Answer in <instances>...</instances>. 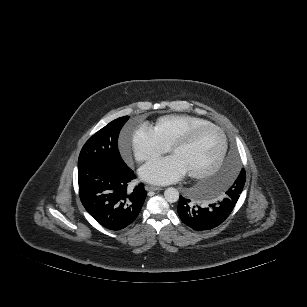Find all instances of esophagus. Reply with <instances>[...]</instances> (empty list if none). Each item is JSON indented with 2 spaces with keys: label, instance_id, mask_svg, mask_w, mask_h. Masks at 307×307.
Wrapping results in <instances>:
<instances>
[{
  "label": "esophagus",
  "instance_id": "obj_1",
  "mask_svg": "<svg viewBox=\"0 0 307 307\" xmlns=\"http://www.w3.org/2000/svg\"><path fill=\"white\" fill-rule=\"evenodd\" d=\"M145 188H146L147 191H159V190H162L161 187L153 186V185H146Z\"/></svg>",
  "mask_w": 307,
  "mask_h": 307
}]
</instances>
